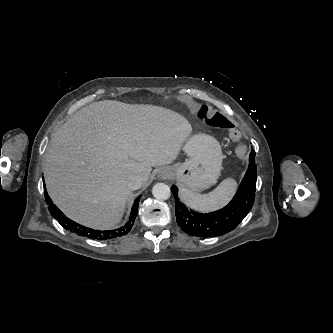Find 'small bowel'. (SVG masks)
Here are the masks:
<instances>
[{"label": "small bowel", "instance_id": "obj_1", "mask_svg": "<svg viewBox=\"0 0 333 333\" xmlns=\"http://www.w3.org/2000/svg\"><path fill=\"white\" fill-rule=\"evenodd\" d=\"M229 140L231 143L235 144L234 151H235L236 157L239 159L244 158L246 155L245 145L243 142H241L240 136L237 133L233 132V133H231Z\"/></svg>", "mask_w": 333, "mask_h": 333}]
</instances>
